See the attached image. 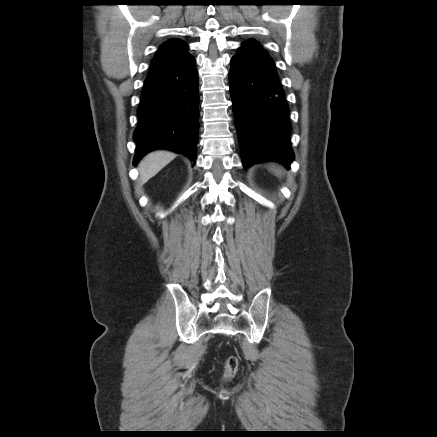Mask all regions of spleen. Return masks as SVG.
<instances>
[{
    "mask_svg": "<svg viewBox=\"0 0 437 437\" xmlns=\"http://www.w3.org/2000/svg\"><path fill=\"white\" fill-rule=\"evenodd\" d=\"M276 174H280V172L275 171Z\"/></svg>",
    "mask_w": 437,
    "mask_h": 437,
    "instance_id": "spleen-1",
    "label": "spleen"
}]
</instances>
